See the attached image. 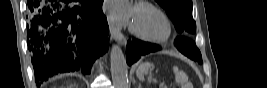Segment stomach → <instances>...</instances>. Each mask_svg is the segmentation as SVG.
<instances>
[{
    "label": "stomach",
    "mask_w": 267,
    "mask_h": 88,
    "mask_svg": "<svg viewBox=\"0 0 267 88\" xmlns=\"http://www.w3.org/2000/svg\"><path fill=\"white\" fill-rule=\"evenodd\" d=\"M149 68H151V65H149V66L146 68V71H147Z\"/></svg>",
    "instance_id": "obj_1"
}]
</instances>
